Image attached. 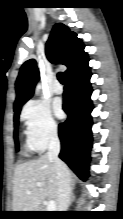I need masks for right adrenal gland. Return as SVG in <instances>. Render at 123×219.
Wrapping results in <instances>:
<instances>
[{
	"label": "right adrenal gland",
	"mask_w": 123,
	"mask_h": 219,
	"mask_svg": "<svg viewBox=\"0 0 123 219\" xmlns=\"http://www.w3.org/2000/svg\"><path fill=\"white\" fill-rule=\"evenodd\" d=\"M74 186H75V184L73 183L72 184V190L74 189ZM74 199H75V196H74L73 192H71V200H70V202H72Z\"/></svg>",
	"instance_id": "2a0ac1e0"
}]
</instances>
